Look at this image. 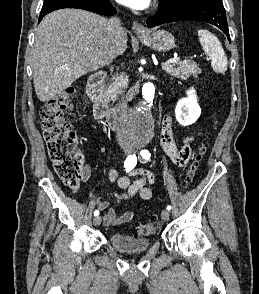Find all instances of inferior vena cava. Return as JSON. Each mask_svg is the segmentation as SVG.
I'll use <instances>...</instances> for the list:
<instances>
[{"label":"inferior vena cava","instance_id":"inferior-vena-cava-1","mask_svg":"<svg viewBox=\"0 0 259 294\" xmlns=\"http://www.w3.org/2000/svg\"><path fill=\"white\" fill-rule=\"evenodd\" d=\"M108 27L111 32V43H110V56L118 53L119 38L123 32L121 21L117 17H112L108 20ZM127 110V102L122 98V101L117 105V113L119 119H123Z\"/></svg>","mask_w":259,"mask_h":294}]
</instances>
